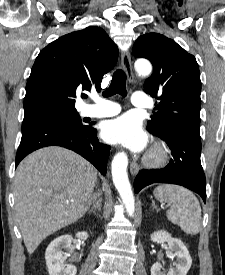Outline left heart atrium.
<instances>
[{
  "label": "left heart atrium",
  "instance_id": "left-heart-atrium-1",
  "mask_svg": "<svg viewBox=\"0 0 225 275\" xmlns=\"http://www.w3.org/2000/svg\"><path fill=\"white\" fill-rule=\"evenodd\" d=\"M102 136L107 142L141 151L147 144V136L139 121L132 115H123L107 121L102 127Z\"/></svg>",
  "mask_w": 225,
  "mask_h": 275
}]
</instances>
